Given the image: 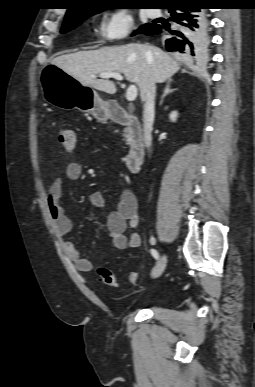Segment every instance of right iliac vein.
<instances>
[{"instance_id":"63e3f726","label":"right iliac vein","mask_w":255,"mask_h":387,"mask_svg":"<svg viewBox=\"0 0 255 387\" xmlns=\"http://www.w3.org/2000/svg\"><path fill=\"white\" fill-rule=\"evenodd\" d=\"M166 263H167V257L166 255H162L159 258L154 270L152 271V274H151L152 278H158L163 273L166 267Z\"/></svg>"}]
</instances>
